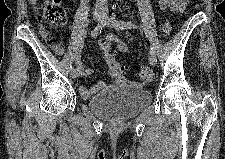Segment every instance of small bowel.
<instances>
[{
  "label": "small bowel",
  "mask_w": 225,
  "mask_h": 159,
  "mask_svg": "<svg viewBox=\"0 0 225 159\" xmlns=\"http://www.w3.org/2000/svg\"><path fill=\"white\" fill-rule=\"evenodd\" d=\"M186 3H187L186 0H159L158 1V4L162 10H170V11H177V12L182 11L183 8L186 6ZM40 33L42 38L50 46V48L55 51V53L57 54L63 53L62 45L59 42L55 41L54 37H52L43 26H40ZM111 43H115L120 52L125 54L129 52L128 45L114 35H107L104 39L100 40L98 42V47L100 49H103L105 47L110 48ZM80 70H81L82 76L84 77H88L91 75V70L88 68H83L80 65ZM108 73L110 76H112L113 78H116L117 80L122 81L124 79V76L121 74H117V75L112 74L109 68H108ZM103 85L104 83L102 81H99L92 87L79 86V92L83 98H90L96 91L101 89Z\"/></svg>",
  "instance_id": "1"
}]
</instances>
